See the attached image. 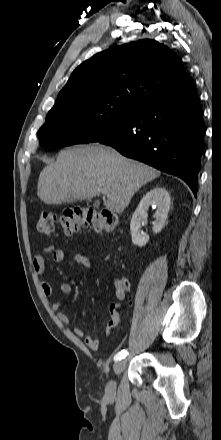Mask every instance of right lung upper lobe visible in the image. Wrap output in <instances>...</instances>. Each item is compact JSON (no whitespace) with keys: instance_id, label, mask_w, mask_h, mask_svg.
I'll return each mask as SVG.
<instances>
[{"instance_id":"cb5924a9","label":"right lung upper lobe","mask_w":221,"mask_h":440,"mask_svg":"<svg viewBox=\"0 0 221 440\" xmlns=\"http://www.w3.org/2000/svg\"><path fill=\"white\" fill-rule=\"evenodd\" d=\"M189 84L184 66L172 50L143 39L97 53L79 65L52 109L99 103L136 108Z\"/></svg>"}]
</instances>
